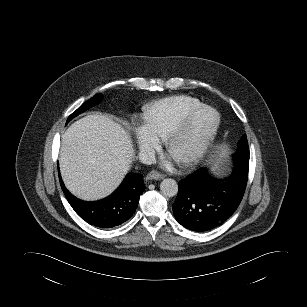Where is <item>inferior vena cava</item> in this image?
I'll use <instances>...</instances> for the list:
<instances>
[{
  "label": "inferior vena cava",
  "mask_w": 307,
  "mask_h": 307,
  "mask_svg": "<svg viewBox=\"0 0 307 307\" xmlns=\"http://www.w3.org/2000/svg\"><path fill=\"white\" fill-rule=\"evenodd\" d=\"M139 160L143 164H152L155 161V155L154 153L150 151H141L138 155Z\"/></svg>",
  "instance_id": "1"
}]
</instances>
